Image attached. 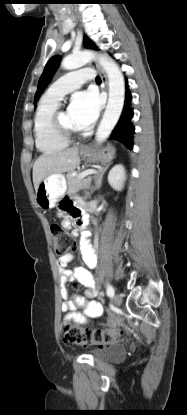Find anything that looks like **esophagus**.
<instances>
[{"instance_id": "esophagus-1", "label": "esophagus", "mask_w": 187, "mask_h": 415, "mask_svg": "<svg viewBox=\"0 0 187 415\" xmlns=\"http://www.w3.org/2000/svg\"><path fill=\"white\" fill-rule=\"evenodd\" d=\"M90 65L93 66V67H96L99 70L100 76H101V79H102V83H103V88H104V90L107 91V89H108V80H107L106 74L99 68V66L97 65L96 62L92 61L90 63Z\"/></svg>"}]
</instances>
